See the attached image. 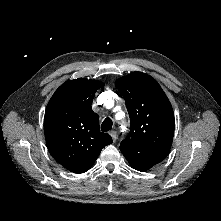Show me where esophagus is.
Listing matches in <instances>:
<instances>
[{
	"label": "esophagus",
	"instance_id": "obj_1",
	"mask_svg": "<svg viewBox=\"0 0 221 221\" xmlns=\"http://www.w3.org/2000/svg\"><path fill=\"white\" fill-rule=\"evenodd\" d=\"M110 135H111L113 141L116 142V140H117V132L113 130V131L110 132Z\"/></svg>",
	"mask_w": 221,
	"mask_h": 221
}]
</instances>
